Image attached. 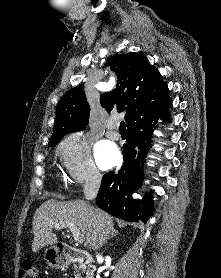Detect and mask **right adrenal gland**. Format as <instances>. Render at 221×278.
Segmentation results:
<instances>
[{
  "label": "right adrenal gland",
  "mask_w": 221,
  "mask_h": 278,
  "mask_svg": "<svg viewBox=\"0 0 221 278\" xmlns=\"http://www.w3.org/2000/svg\"><path fill=\"white\" fill-rule=\"evenodd\" d=\"M118 235V232L117 231H114V233L110 236V238L114 237V236H117Z\"/></svg>",
  "instance_id": "1"
}]
</instances>
